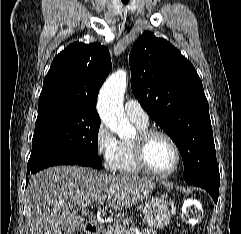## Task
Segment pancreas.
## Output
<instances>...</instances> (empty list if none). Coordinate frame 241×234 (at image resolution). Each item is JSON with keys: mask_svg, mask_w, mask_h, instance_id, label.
<instances>
[{"mask_svg": "<svg viewBox=\"0 0 241 234\" xmlns=\"http://www.w3.org/2000/svg\"><path fill=\"white\" fill-rule=\"evenodd\" d=\"M102 234H133V233H127L124 227H122L118 223H114V224L107 225V227L102 230ZM140 234H150V233L147 231H143Z\"/></svg>", "mask_w": 241, "mask_h": 234, "instance_id": "cf45deb5", "label": "pancreas"}]
</instances>
